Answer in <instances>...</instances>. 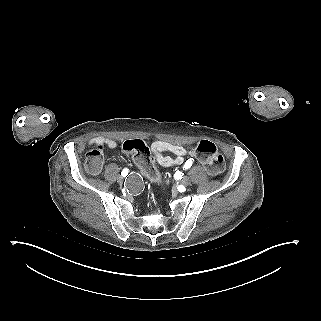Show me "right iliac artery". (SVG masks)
I'll use <instances>...</instances> for the list:
<instances>
[{
	"label": "right iliac artery",
	"instance_id": "obj_1",
	"mask_svg": "<svg viewBox=\"0 0 321 321\" xmlns=\"http://www.w3.org/2000/svg\"><path fill=\"white\" fill-rule=\"evenodd\" d=\"M128 172H129V170L125 168V169L122 170L121 175L123 177H126L128 175Z\"/></svg>",
	"mask_w": 321,
	"mask_h": 321
}]
</instances>
